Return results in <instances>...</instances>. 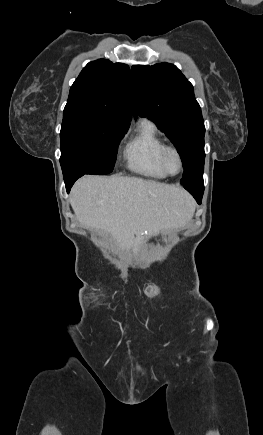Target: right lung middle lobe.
<instances>
[{
    "label": "right lung middle lobe",
    "mask_w": 263,
    "mask_h": 435,
    "mask_svg": "<svg viewBox=\"0 0 263 435\" xmlns=\"http://www.w3.org/2000/svg\"><path fill=\"white\" fill-rule=\"evenodd\" d=\"M127 129L90 112H63L60 164L64 179L76 174L112 172L118 144Z\"/></svg>",
    "instance_id": "right-lung-middle-lobe-1"
}]
</instances>
